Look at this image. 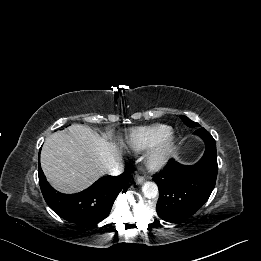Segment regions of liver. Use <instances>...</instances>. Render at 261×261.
I'll return each instance as SVG.
<instances>
[{
  "instance_id": "1",
  "label": "liver",
  "mask_w": 261,
  "mask_h": 261,
  "mask_svg": "<svg viewBox=\"0 0 261 261\" xmlns=\"http://www.w3.org/2000/svg\"><path fill=\"white\" fill-rule=\"evenodd\" d=\"M120 161L117 146L83 125L50 135L41 151V167L54 188L82 191Z\"/></svg>"
}]
</instances>
